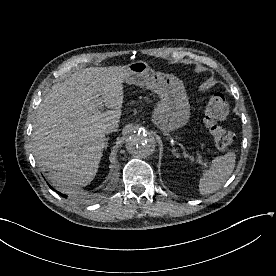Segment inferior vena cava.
<instances>
[{
    "label": "inferior vena cava",
    "instance_id": "602c4592",
    "mask_svg": "<svg viewBox=\"0 0 276 276\" xmlns=\"http://www.w3.org/2000/svg\"><path fill=\"white\" fill-rule=\"evenodd\" d=\"M118 127V122H108L103 126V131L108 134L117 131Z\"/></svg>",
    "mask_w": 276,
    "mask_h": 276
}]
</instances>
